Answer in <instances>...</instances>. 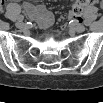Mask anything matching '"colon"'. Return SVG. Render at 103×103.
Returning a JSON list of instances; mask_svg holds the SVG:
<instances>
[{"label":"colon","instance_id":"obj_1","mask_svg":"<svg viewBox=\"0 0 103 103\" xmlns=\"http://www.w3.org/2000/svg\"><path fill=\"white\" fill-rule=\"evenodd\" d=\"M89 4V1H76L71 9V15L75 19H79L82 15L83 10Z\"/></svg>","mask_w":103,"mask_h":103}]
</instances>
